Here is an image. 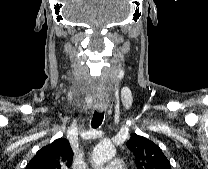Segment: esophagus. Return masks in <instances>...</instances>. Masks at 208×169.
<instances>
[{"instance_id": "34e87169", "label": "esophagus", "mask_w": 208, "mask_h": 169, "mask_svg": "<svg viewBox=\"0 0 208 169\" xmlns=\"http://www.w3.org/2000/svg\"><path fill=\"white\" fill-rule=\"evenodd\" d=\"M97 111L102 112L107 109V105H100L96 107Z\"/></svg>"}]
</instances>
